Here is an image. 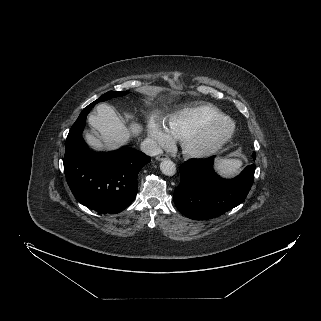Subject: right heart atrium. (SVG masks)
Wrapping results in <instances>:
<instances>
[{
  "label": "right heart atrium",
  "mask_w": 321,
  "mask_h": 321,
  "mask_svg": "<svg viewBox=\"0 0 321 321\" xmlns=\"http://www.w3.org/2000/svg\"><path fill=\"white\" fill-rule=\"evenodd\" d=\"M147 137L154 148H166L173 143V137L165 126L156 119L149 121L147 125Z\"/></svg>",
  "instance_id": "obj_1"
}]
</instances>
